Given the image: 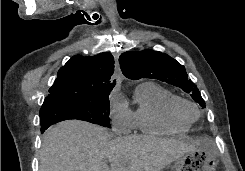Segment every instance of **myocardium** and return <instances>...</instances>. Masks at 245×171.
<instances>
[{
  "label": "myocardium",
  "mask_w": 245,
  "mask_h": 171,
  "mask_svg": "<svg viewBox=\"0 0 245 171\" xmlns=\"http://www.w3.org/2000/svg\"><path fill=\"white\" fill-rule=\"evenodd\" d=\"M192 108L194 109V111L196 112V117L195 118H190L187 116L185 110L186 108ZM171 110L172 113L179 118L182 121H185L189 124L195 122L198 120V118L200 117V111L197 107V105L189 100L186 99H182V98H178L177 100H175L172 105H171Z\"/></svg>",
  "instance_id": "myocardium-1"
}]
</instances>
